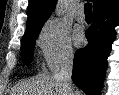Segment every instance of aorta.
<instances>
[{"instance_id":"1","label":"aorta","mask_w":119,"mask_h":95,"mask_svg":"<svg viewBox=\"0 0 119 95\" xmlns=\"http://www.w3.org/2000/svg\"><path fill=\"white\" fill-rule=\"evenodd\" d=\"M64 11H65V5L64 2L61 0L57 3L55 13L57 16H62L64 14Z\"/></svg>"}]
</instances>
